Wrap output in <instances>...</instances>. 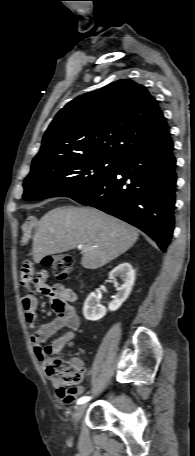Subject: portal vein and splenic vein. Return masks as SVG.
<instances>
[{"instance_id":"1","label":"portal vein and splenic vein","mask_w":195,"mask_h":456,"mask_svg":"<svg viewBox=\"0 0 195 456\" xmlns=\"http://www.w3.org/2000/svg\"><path fill=\"white\" fill-rule=\"evenodd\" d=\"M79 247L83 249L85 246L83 244H80Z\"/></svg>"}]
</instances>
